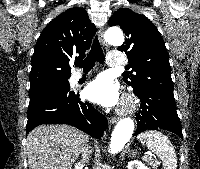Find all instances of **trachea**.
Wrapping results in <instances>:
<instances>
[{
  "label": "trachea",
  "mask_w": 200,
  "mask_h": 169,
  "mask_svg": "<svg viewBox=\"0 0 200 169\" xmlns=\"http://www.w3.org/2000/svg\"><path fill=\"white\" fill-rule=\"evenodd\" d=\"M96 61H98L100 63H104L103 50L101 48V45H100L97 37H95V39L93 40V44H92V47H91V50H90L88 56L84 60L79 61L76 64V66L79 68H83L84 71H88L93 68Z\"/></svg>",
  "instance_id": "obj_1"
}]
</instances>
